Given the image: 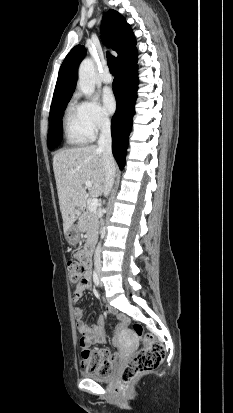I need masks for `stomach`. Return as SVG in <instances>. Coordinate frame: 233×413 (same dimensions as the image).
I'll return each mask as SVG.
<instances>
[{"mask_svg":"<svg viewBox=\"0 0 233 413\" xmlns=\"http://www.w3.org/2000/svg\"><path fill=\"white\" fill-rule=\"evenodd\" d=\"M80 229L77 224H74L66 233V240L70 245H76L80 239Z\"/></svg>","mask_w":233,"mask_h":413,"instance_id":"stomach-1","label":"stomach"}]
</instances>
